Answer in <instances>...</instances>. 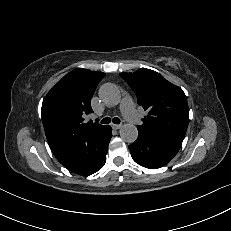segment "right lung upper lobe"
I'll use <instances>...</instances> for the list:
<instances>
[{
	"label": "right lung upper lobe",
	"instance_id": "obj_1",
	"mask_svg": "<svg viewBox=\"0 0 231 231\" xmlns=\"http://www.w3.org/2000/svg\"><path fill=\"white\" fill-rule=\"evenodd\" d=\"M105 73L78 68L66 74L46 95L42 121L50 147L59 160L71 158L82 137L105 125L84 122L91 98Z\"/></svg>",
	"mask_w": 231,
	"mask_h": 231
}]
</instances>
